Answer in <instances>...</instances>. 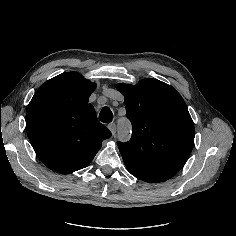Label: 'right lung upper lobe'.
Masks as SVG:
<instances>
[{"mask_svg":"<svg viewBox=\"0 0 236 236\" xmlns=\"http://www.w3.org/2000/svg\"><path fill=\"white\" fill-rule=\"evenodd\" d=\"M96 84L75 72L60 74L35 93L26 111V132L39 159L63 174L86 167L111 132L88 103Z\"/></svg>","mask_w":236,"mask_h":236,"instance_id":"obj_1","label":"right lung upper lobe"}]
</instances>
